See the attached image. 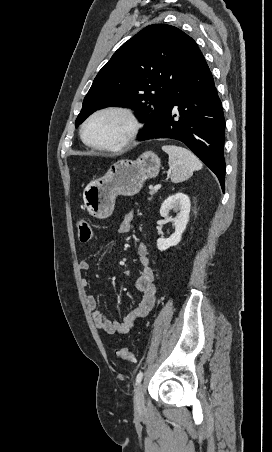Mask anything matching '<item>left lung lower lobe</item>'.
Listing matches in <instances>:
<instances>
[{
    "label": "left lung lower lobe",
    "mask_w": 272,
    "mask_h": 452,
    "mask_svg": "<svg viewBox=\"0 0 272 452\" xmlns=\"http://www.w3.org/2000/svg\"><path fill=\"white\" fill-rule=\"evenodd\" d=\"M225 119L211 71L199 48L183 69L170 99L138 140L173 138L185 143L218 177L225 190Z\"/></svg>",
    "instance_id": "0a47b994"
}]
</instances>
